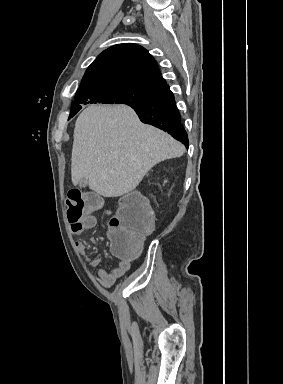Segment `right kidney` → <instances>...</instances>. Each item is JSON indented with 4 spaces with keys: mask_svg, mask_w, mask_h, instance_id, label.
Listing matches in <instances>:
<instances>
[{
    "mask_svg": "<svg viewBox=\"0 0 283 384\" xmlns=\"http://www.w3.org/2000/svg\"><path fill=\"white\" fill-rule=\"evenodd\" d=\"M167 180H164V184H166Z\"/></svg>",
    "mask_w": 283,
    "mask_h": 384,
    "instance_id": "ca27d5eb",
    "label": "right kidney"
}]
</instances>
